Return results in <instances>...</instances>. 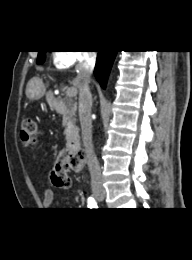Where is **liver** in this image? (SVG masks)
Returning a JSON list of instances; mask_svg holds the SVG:
<instances>
[{
  "mask_svg": "<svg viewBox=\"0 0 192 260\" xmlns=\"http://www.w3.org/2000/svg\"><path fill=\"white\" fill-rule=\"evenodd\" d=\"M31 81H35V82H38V83H42V81H41L40 79H38V78H33ZM78 84H79V80H78V77H77V78H75V79L73 80V85L76 86V87H78ZM28 87H29V83H28V86H27V89H26V95H27ZM51 96H52V93L49 92V93H48V98H51Z\"/></svg>",
  "mask_w": 192,
  "mask_h": 260,
  "instance_id": "1",
  "label": "liver"
}]
</instances>
